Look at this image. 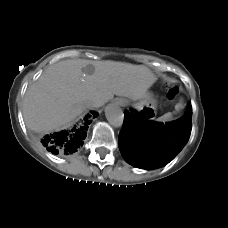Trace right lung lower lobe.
Returning a JSON list of instances; mask_svg holds the SVG:
<instances>
[{
	"label": "right lung lower lobe",
	"instance_id": "right-lung-lower-lobe-1",
	"mask_svg": "<svg viewBox=\"0 0 228 228\" xmlns=\"http://www.w3.org/2000/svg\"><path fill=\"white\" fill-rule=\"evenodd\" d=\"M97 113L91 111L83 120L68 130L45 135L41 138L42 145L51 153L59 156L70 155L76 152L86 138L91 119L97 117Z\"/></svg>",
	"mask_w": 228,
	"mask_h": 228
}]
</instances>
